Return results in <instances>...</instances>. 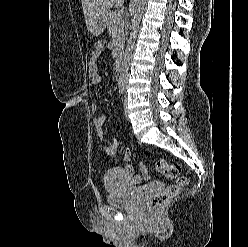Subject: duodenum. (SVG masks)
<instances>
[{
  "mask_svg": "<svg viewBox=\"0 0 248 247\" xmlns=\"http://www.w3.org/2000/svg\"><path fill=\"white\" fill-rule=\"evenodd\" d=\"M124 65V54L119 52L116 56L115 67L118 72H121Z\"/></svg>",
  "mask_w": 248,
  "mask_h": 247,
  "instance_id": "obj_1",
  "label": "duodenum"
}]
</instances>
